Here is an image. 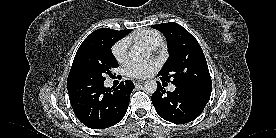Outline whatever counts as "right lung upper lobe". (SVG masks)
<instances>
[{
	"label": "right lung upper lobe",
	"mask_w": 276,
	"mask_h": 138,
	"mask_svg": "<svg viewBox=\"0 0 276 138\" xmlns=\"http://www.w3.org/2000/svg\"><path fill=\"white\" fill-rule=\"evenodd\" d=\"M130 31H131V30H121V31H119V32L122 33V34L127 35ZM125 35H124V36H125ZM124 36H123V37H124Z\"/></svg>",
	"instance_id": "obj_1"
}]
</instances>
